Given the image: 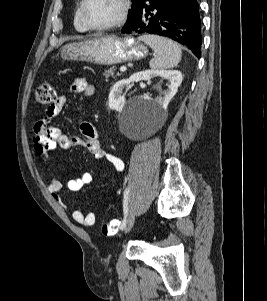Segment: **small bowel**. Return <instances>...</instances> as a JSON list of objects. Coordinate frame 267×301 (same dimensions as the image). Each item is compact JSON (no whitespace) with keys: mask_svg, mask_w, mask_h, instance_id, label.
<instances>
[{"mask_svg":"<svg viewBox=\"0 0 267 301\" xmlns=\"http://www.w3.org/2000/svg\"><path fill=\"white\" fill-rule=\"evenodd\" d=\"M70 91L83 98H89L94 94L95 87L85 78L78 77L72 82ZM66 102L67 96L60 95L47 109L45 115L35 123L33 147L36 157L45 163L50 154L58 149L68 150L74 146H82L87 148L95 159L107 161L117 172L122 173L125 167L123 160L107 152L102 147L98 131L93 124L87 121L80 123L81 137L66 135L60 128L51 124L52 119L60 113ZM49 176L48 192L54 197L57 203L66 207L60 196L62 183L52 173ZM92 179L91 173L82 172L79 176L68 180L67 187L70 191H79L89 185ZM72 218L76 223L86 227L93 226L95 223V215L93 213L84 214L80 210H74Z\"/></svg>","mask_w":267,"mask_h":301,"instance_id":"1","label":"small bowel"}]
</instances>
